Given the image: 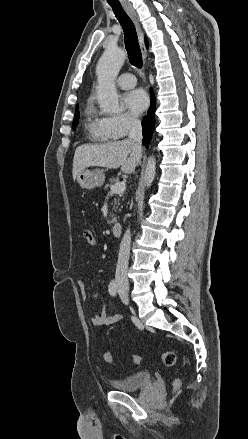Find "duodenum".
<instances>
[{
	"mask_svg": "<svg viewBox=\"0 0 248 439\" xmlns=\"http://www.w3.org/2000/svg\"><path fill=\"white\" fill-rule=\"evenodd\" d=\"M111 230L114 235L119 236L122 234L123 224L121 222H115L113 223Z\"/></svg>",
	"mask_w": 248,
	"mask_h": 439,
	"instance_id": "duodenum-1",
	"label": "duodenum"
}]
</instances>
